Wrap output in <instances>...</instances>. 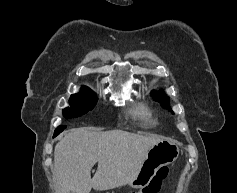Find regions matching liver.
Segmentation results:
<instances>
[{"mask_svg":"<svg viewBox=\"0 0 237 193\" xmlns=\"http://www.w3.org/2000/svg\"><path fill=\"white\" fill-rule=\"evenodd\" d=\"M163 140L124 130L97 131L89 127L69 130L54 149L55 193H90L129 184L148 150ZM98 163L91 178V169Z\"/></svg>","mask_w":237,"mask_h":193,"instance_id":"1","label":"liver"}]
</instances>
